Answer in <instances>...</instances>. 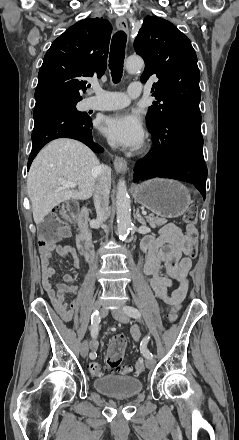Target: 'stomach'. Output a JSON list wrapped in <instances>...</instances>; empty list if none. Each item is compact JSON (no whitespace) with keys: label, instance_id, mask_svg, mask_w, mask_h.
<instances>
[{"label":"stomach","instance_id":"1","mask_svg":"<svg viewBox=\"0 0 239 440\" xmlns=\"http://www.w3.org/2000/svg\"><path fill=\"white\" fill-rule=\"evenodd\" d=\"M138 204L162 218H179L191 204L189 190L176 180L154 178L132 188Z\"/></svg>","mask_w":239,"mask_h":440}]
</instances>
